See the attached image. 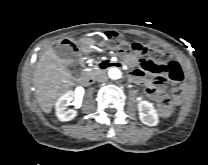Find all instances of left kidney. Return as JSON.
I'll return each instance as SVG.
<instances>
[{"mask_svg": "<svg viewBox=\"0 0 208 165\" xmlns=\"http://www.w3.org/2000/svg\"><path fill=\"white\" fill-rule=\"evenodd\" d=\"M139 119L148 126H156L159 122L158 114L152 103L140 101L138 103Z\"/></svg>", "mask_w": 208, "mask_h": 165, "instance_id": "1", "label": "left kidney"}]
</instances>
